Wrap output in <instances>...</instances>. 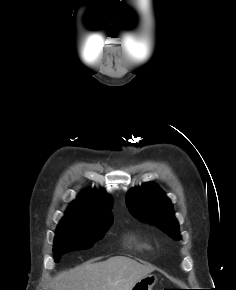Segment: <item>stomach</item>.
Returning <instances> with one entry per match:
<instances>
[{
  "instance_id": "1",
  "label": "stomach",
  "mask_w": 236,
  "mask_h": 290,
  "mask_svg": "<svg viewBox=\"0 0 236 290\" xmlns=\"http://www.w3.org/2000/svg\"><path fill=\"white\" fill-rule=\"evenodd\" d=\"M156 281H157L156 275L148 274L139 281H137L131 290H152Z\"/></svg>"
}]
</instances>
